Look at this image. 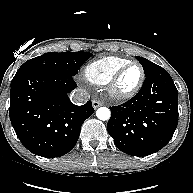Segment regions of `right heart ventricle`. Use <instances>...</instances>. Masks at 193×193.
Segmentation results:
<instances>
[{
	"label": "right heart ventricle",
	"mask_w": 193,
	"mask_h": 193,
	"mask_svg": "<svg viewBox=\"0 0 193 193\" xmlns=\"http://www.w3.org/2000/svg\"><path fill=\"white\" fill-rule=\"evenodd\" d=\"M130 60L117 56H107L89 62L83 69V78L95 86L108 84L113 74Z\"/></svg>",
	"instance_id": "1"
}]
</instances>
